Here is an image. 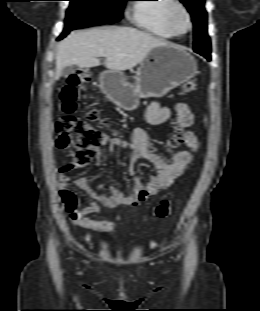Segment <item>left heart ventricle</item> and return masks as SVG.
I'll list each match as a JSON object with an SVG mask.
<instances>
[{
  "instance_id": "obj_1",
  "label": "left heart ventricle",
  "mask_w": 260,
  "mask_h": 311,
  "mask_svg": "<svg viewBox=\"0 0 260 311\" xmlns=\"http://www.w3.org/2000/svg\"><path fill=\"white\" fill-rule=\"evenodd\" d=\"M174 25L178 31L180 32L186 31L188 24L185 16L182 13L180 12L176 13L174 17Z\"/></svg>"
}]
</instances>
